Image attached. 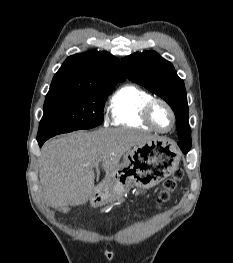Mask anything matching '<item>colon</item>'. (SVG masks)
<instances>
[{"mask_svg":"<svg viewBox=\"0 0 233 263\" xmlns=\"http://www.w3.org/2000/svg\"><path fill=\"white\" fill-rule=\"evenodd\" d=\"M183 178V171L177 169L174 175L165 180L163 188L160 191L157 199V203L160 205L167 202L170 199L171 194L176 190L178 182Z\"/></svg>","mask_w":233,"mask_h":263,"instance_id":"obj_1","label":"colon"}]
</instances>
